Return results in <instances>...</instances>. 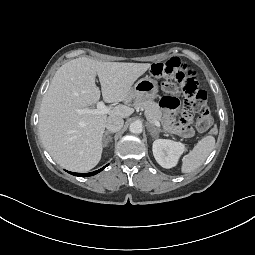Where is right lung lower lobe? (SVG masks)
I'll use <instances>...</instances> for the list:
<instances>
[{
  "mask_svg": "<svg viewBox=\"0 0 255 255\" xmlns=\"http://www.w3.org/2000/svg\"><path fill=\"white\" fill-rule=\"evenodd\" d=\"M108 165L104 166L103 168L97 170V171H94V172H90V173H74V172H69L70 174L72 175H75V176H79V177H87V176H92V175H95L97 173H99L100 171H102L103 169H105Z\"/></svg>",
  "mask_w": 255,
  "mask_h": 255,
  "instance_id": "right-lung-lower-lobe-1",
  "label": "right lung lower lobe"
}]
</instances>
